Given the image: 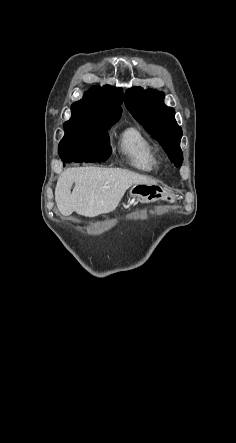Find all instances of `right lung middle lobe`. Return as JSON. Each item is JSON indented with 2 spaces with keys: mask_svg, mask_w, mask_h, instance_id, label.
Returning <instances> with one entry per match:
<instances>
[{
  "mask_svg": "<svg viewBox=\"0 0 236 443\" xmlns=\"http://www.w3.org/2000/svg\"><path fill=\"white\" fill-rule=\"evenodd\" d=\"M118 120V118L108 116L72 115L64 123L65 135L58 149L83 145L110 147L107 131Z\"/></svg>",
  "mask_w": 236,
  "mask_h": 443,
  "instance_id": "right-lung-middle-lobe-1",
  "label": "right lung middle lobe"
}]
</instances>
